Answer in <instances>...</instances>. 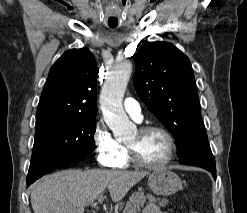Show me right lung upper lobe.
<instances>
[{
  "instance_id": "1",
  "label": "right lung upper lobe",
  "mask_w": 247,
  "mask_h": 213,
  "mask_svg": "<svg viewBox=\"0 0 247 213\" xmlns=\"http://www.w3.org/2000/svg\"><path fill=\"white\" fill-rule=\"evenodd\" d=\"M97 63L88 48L66 51L51 67L36 117L96 116Z\"/></svg>"
}]
</instances>
